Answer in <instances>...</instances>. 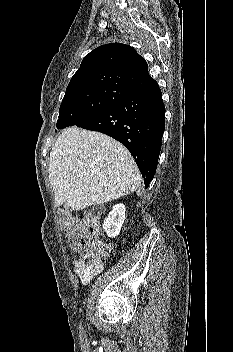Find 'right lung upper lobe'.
<instances>
[{"label": "right lung upper lobe", "mask_w": 233, "mask_h": 352, "mask_svg": "<svg viewBox=\"0 0 233 352\" xmlns=\"http://www.w3.org/2000/svg\"><path fill=\"white\" fill-rule=\"evenodd\" d=\"M156 83L148 65L136 50L121 43L99 46L87 54L73 75L66 92L91 86L116 84L136 92Z\"/></svg>", "instance_id": "1"}]
</instances>
